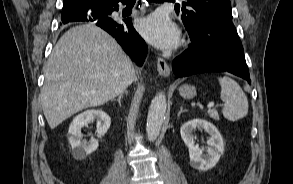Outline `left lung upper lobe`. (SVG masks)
I'll list each match as a JSON object with an SVG mask.
<instances>
[{"label":"left lung upper lobe","mask_w":293,"mask_h":184,"mask_svg":"<svg viewBox=\"0 0 293 184\" xmlns=\"http://www.w3.org/2000/svg\"><path fill=\"white\" fill-rule=\"evenodd\" d=\"M183 5L191 7L182 8L183 23L188 25H197L207 18H214L218 24L223 18L232 20L230 0H187Z\"/></svg>","instance_id":"left-lung-upper-lobe-1"}]
</instances>
